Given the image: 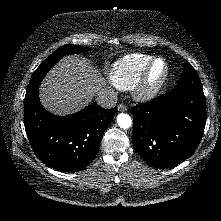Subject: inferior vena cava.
<instances>
[{"instance_id": "602c4592", "label": "inferior vena cava", "mask_w": 221, "mask_h": 221, "mask_svg": "<svg viewBox=\"0 0 221 221\" xmlns=\"http://www.w3.org/2000/svg\"><path fill=\"white\" fill-rule=\"evenodd\" d=\"M117 100V93L110 87H104L96 94L97 104L103 108L115 107Z\"/></svg>"}]
</instances>
